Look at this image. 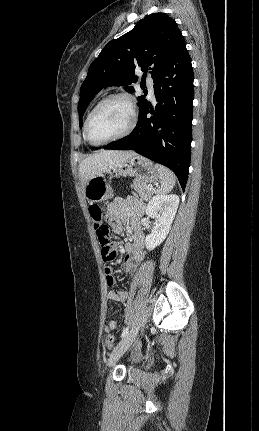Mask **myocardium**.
Here are the masks:
<instances>
[{
  "label": "myocardium",
  "instance_id": "1",
  "mask_svg": "<svg viewBox=\"0 0 259 431\" xmlns=\"http://www.w3.org/2000/svg\"><path fill=\"white\" fill-rule=\"evenodd\" d=\"M114 99H121L123 101L126 102V104L128 105V108L130 110V115H131V119H130V123L128 125V127L121 132L120 134L111 137L107 140L104 141H95L92 139L91 135H90V124L92 121V118L94 116V114L97 112V110L104 105L105 103L114 100ZM138 122V114H137V110H136V105L134 102V99L132 98L131 95L127 94V93H113L110 94L106 97H104L103 99H101L95 106L94 108L91 110V112L88 114L86 122H85V128H84V134H85V139L88 141V143H90L93 146H101V145H105L120 139H123L125 137H127L128 135H130L134 129L136 128Z\"/></svg>",
  "mask_w": 259,
  "mask_h": 431
}]
</instances>
